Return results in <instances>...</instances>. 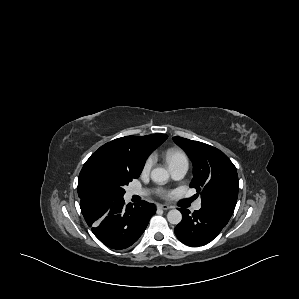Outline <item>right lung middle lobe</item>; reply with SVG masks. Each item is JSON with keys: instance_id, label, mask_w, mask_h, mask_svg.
Returning <instances> with one entry per match:
<instances>
[{"instance_id": "right-lung-middle-lobe-1", "label": "right lung middle lobe", "mask_w": 299, "mask_h": 299, "mask_svg": "<svg viewBox=\"0 0 299 299\" xmlns=\"http://www.w3.org/2000/svg\"><path fill=\"white\" fill-rule=\"evenodd\" d=\"M139 175L123 168L105 153L96 151L79 174L78 195L120 199L125 194L124 186Z\"/></svg>"}]
</instances>
